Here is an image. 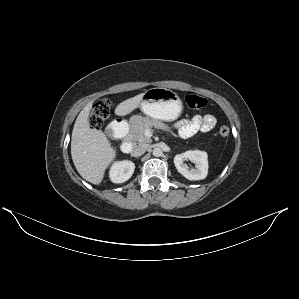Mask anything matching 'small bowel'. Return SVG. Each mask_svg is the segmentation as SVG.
<instances>
[{"mask_svg": "<svg viewBox=\"0 0 299 299\" xmlns=\"http://www.w3.org/2000/svg\"><path fill=\"white\" fill-rule=\"evenodd\" d=\"M216 124V118L211 114L196 115L189 120H180L175 124L177 134L188 138L197 132H209Z\"/></svg>", "mask_w": 299, "mask_h": 299, "instance_id": "c3829d8e", "label": "small bowel"}]
</instances>
